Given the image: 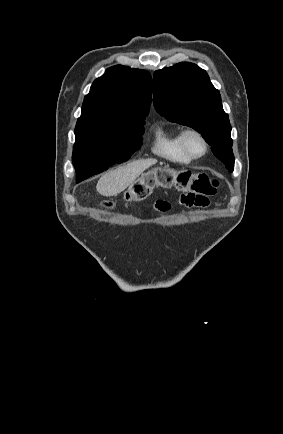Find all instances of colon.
I'll use <instances>...</instances> for the list:
<instances>
[{"label":"colon","mask_w":283,"mask_h":434,"mask_svg":"<svg viewBox=\"0 0 283 434\" xmlns=\"http://www.w3.org/2000/svg\"><path fill=\"white\" fill-rule=\"evenodd\" d=\"M158 186L175 187L182 191L209 197L217 192L219 181L206 173L155 169L146 173L131 185L125 194V200L128 202L142 201Z\"/></svg>","instance_id":"1"}]
</instances>
